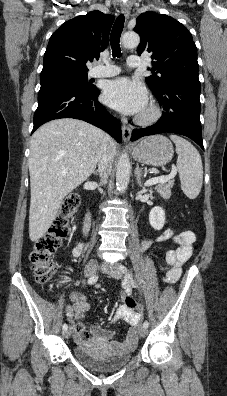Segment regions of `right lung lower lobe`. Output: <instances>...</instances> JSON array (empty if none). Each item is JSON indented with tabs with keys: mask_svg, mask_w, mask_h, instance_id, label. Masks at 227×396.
Wrapping results in <instances>:
<instances>
[{
	"mask_svg": "<svg viewBox=\"0 0 227 396\" xmlns=\"http://www.w3.org/2000/svg\"><path fill=\"white\" fill-rule=\"evenodd\" d=\"M99 93L97 88L81 90L67 84L41 87L32 133L50 120L75 118L105 130L120 143L122 141L120 123L98 102Z\"/></svg>",
	"mask_w": 227,
	"mask_h": 396,
	"instance_id": "obj_1",
	"label": "right lung lower lobe"
}]
</instances>
